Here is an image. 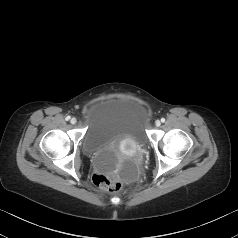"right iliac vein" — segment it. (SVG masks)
<instances>
[{
    "instance_id": "obj_1",
    "label": "right iliac vein",
    "mask_w": 238,
    "mask_h": 238,
    "mask_svg": "<svg viewBox=\"0 0 238 238\" xmlns=\"http://www.w3.org/2000/svg\"><path fill=\"white\" fill-rule=\"evenodd\" d=\"M70 122H71V124H73V125H74V124H76V123H77V119L73 117V118L70 120Z\"/></svg>"
}]
</instances>
